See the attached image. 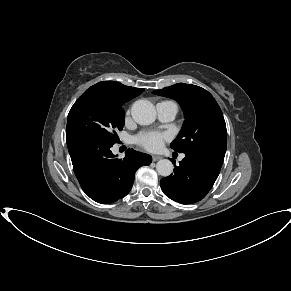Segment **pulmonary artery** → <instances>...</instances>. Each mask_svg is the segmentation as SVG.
Instances as JSON below:
<instances>
[{"label":"pulmonary artery","mask_w":291,"mask_h":291,"mask_svg":"<svg viewBox=\"0 0 291 291\" xmlns=\"http://www.w3.org/2000/svg\"><path fill=\"white\" fill-rule=\"evenodd\" d=\"M157 113L158 118L162 122H170L174 120L178 113V106L173 101H162L157 104ZM181 159L184 158V155L180 156Z\"/></svg>","instance_id":"obj_1"}]
</instances>
